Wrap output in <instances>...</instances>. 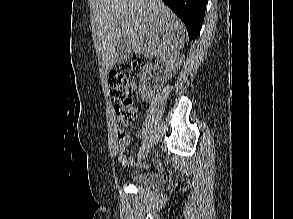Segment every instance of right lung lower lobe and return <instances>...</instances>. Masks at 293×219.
<instances>
[{
	"label": "right lung lower lobe",
	"mask_w": 293,
	"mask_h": 219,
	"mask_svg": "<svg viewBox=\"0 0 293 219\" xmlns=\"http://www.w3.org/2000/svg\"><path fill=\"white\" fill-rule=\"evenodd\" d=\"M185 23L189 38L195 40L201 30L207 0H163Z\"/></svg>",
	"instance_id": "98d812e1"
}]
</instances>
